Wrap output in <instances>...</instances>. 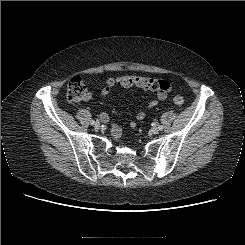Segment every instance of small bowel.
I'll return each mask as SVG.
<instances>
[{
    "label": "small bowel",
    "instance_id": "small-bowel-1",
    "mask_svg": "<svg viewBox=\"0 0 245 245\" xmlns=\"http://www.w3.org/2000/svg\"><path fill=\"white\" fill-rule=\"evenodd\" d=\"M110 92H111V91H110V88H109V87H103V88L101 89V91H100V94H101L102 96L106 97V96H108V95L110 94ZM166 96H167V94H160V93H157V98H158V99H157V100H152V101H150V102L147 104V106H146V108H145L144 110H141V111H139V112L137 113L136 119H137L138 121L144 120L145 117H146L147 110H149V109H151V108L157 106L158 103H159V101H163V100L166 99ZM90 97H91L90 94L87 93V94L85 95V98H84V99H85V100H89ZM100 118H101L102 121H108V119H109V117H108V115H107L106 113H102V114L100 115ZM129 125H130L131 128H135V127H136V122H135V121H131ZM114 137L116 138V137H117V134H115Z\"/></svg>",
    "mask_w": 245,
    "mask_h": 245
}]
</instances>
